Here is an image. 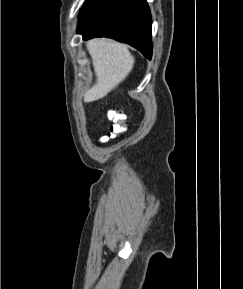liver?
Returning <instances> with one entry per match:
<instances>
[{
    "instance_id": "liver-1",
    "label": "liver",
    "mask_w": 243,
    "mask_h": 289,
    "mask_svg": "<svg viewBox=\"0 0 243 289\" xmlns=\"http://www.w3.org/2000/svg\"><path fill=\"white\" fill-rule=\"evenodd\" d=\"M96 75V83L84 94V102H92L108 95L132 71L135 59L127 46L105 38L86 43Z\"/></svg>"
}]
</instances>
